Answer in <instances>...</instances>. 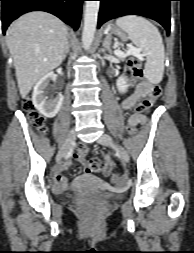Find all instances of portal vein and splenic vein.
<instances>
[{"instance_id":"portal-vein-and-splenic-vein-1","label":"portal vein and splenic vein","mask_w":194,"mask_h":253,"mask_svg":"<svg viewBox=\"0 0 194 253\" xmlns=\"http://www.w3.org/2000/svg\"><path fill=\"white\" fill-rule=\"evenodd\" d=\"M140 52H141L140 49H137L135 47H130L126 53H124L123 51L117 49V50L114 51V54L117 55V56L125 57V56H128V55H139Z\"/></svg>"}]
</instances>
